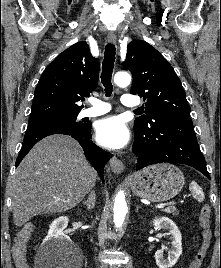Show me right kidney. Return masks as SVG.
Wrapping results in <instances>:
<instances>
[{
    "instance_id": "obj_1",
    "label": "right kidney",
    "mask_w": 221,
    "mask_h": 268,
    "mask_svg": "<svg viewBox=\"0 0 221 268\" xmlns=\"http://www.w3.org/2000/svg\"><path fill=\"white\" fill-rule=\"evenodd\" d=\"M68 217L62 216L55 219L50 227L47 236L44 239L45 244H50L53 241H67L70 242V238L64 234V230L68 225Z\"/></svg>"
}]
</instances>
